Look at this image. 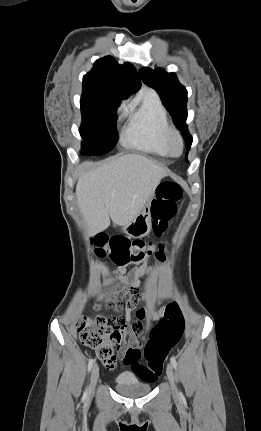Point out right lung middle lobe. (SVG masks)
<instances>
[{
	"label": "right lung middle lobe",
	"instance_id": "obj_1",
	"mask_svg": "<svg viewBox=\"0 0 261 431\" xmlns=\"http://www.w3.org/2000/svg\"><path fill=\"white\" fill-rule=\"evenodd\" d=\"M121 100L123 98L108 92L83 89L80 100L83 155H103L116 145V111Z\"/></svg>",
	"mask_w": 261,
	"mask_h": 431
}]
</instances>
